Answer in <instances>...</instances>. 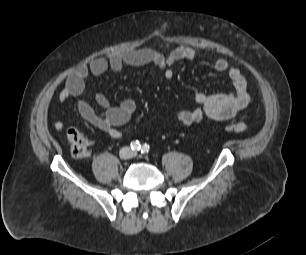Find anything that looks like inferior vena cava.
Returning <instances> with one entry per match:
<instances>
[{"label":"inferior vena cava","instance_id":"602c4592","mask_svg":"<svg viewBox=\"0 0 306 255\" xmlns=\"http://www.w3.org/2000/svg\"><path fill=\"white\" fill-rule=\"evenodd\" d=\"M124 149H127V150L129 151V149H128V148H124ZM127 157H129V156H127Z\"/></svg>","mask_w":306,"mask_h":255}]
</instances>
